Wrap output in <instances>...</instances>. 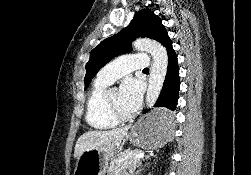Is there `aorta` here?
Listing matches in <instances>:
<instances>
[{"label": "aorta", "instance_id": "obj_1", "mask_svg": "<svg viewBox=\"0 0 251 175\" xmlns=\"http://www.w3.org/2000/svg\"><path fill=\"white\" fill-rule=\"evenodd\" d=\"M132 46L137 52H148L152 56L149 86L146 93L147 107H152L160 95L167 74L168 56L166 48H163L155 40H135Z\"/></svg>", "mask_w": 251, "mask_h": 175}]
</instances>
